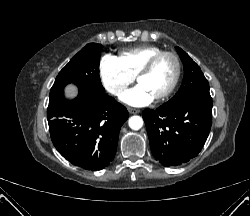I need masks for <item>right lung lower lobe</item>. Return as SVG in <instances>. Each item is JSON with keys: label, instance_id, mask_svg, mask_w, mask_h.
<instances>
[{"label": "right lung lower lobe", "instance_id": "98d812e1", "mask_svg": "<svg viewBox=\"0 0 250 216\" xmlns=\"http://www.w3.org/2000/svg\"><path fill=\"white\" fill-rule=\"evenodd\" d=\"M49 131L55 148L72 164L101 170L113 160L127 109L105 92L79 89L78 96L49 100Z\"/></svg>", "mask_w": 250, "mask_h": 216}]
</instances>
